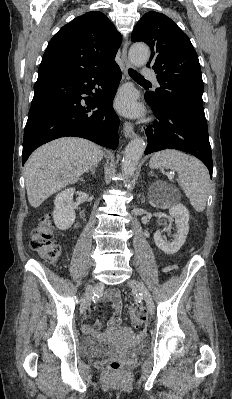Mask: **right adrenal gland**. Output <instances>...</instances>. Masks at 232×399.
Returning a JSON list of instances; mask_svg holds the SVG:
<instances>
[{
  "label": "right adrenal gland",
  "instance_id": "1",
  "mask_svg": "<svg viewBox=\"0 0 232 399\" xmlns=\"http://www.w3.org/2000/svg\"><path fill=\"white\" fill-rule=\"evenodd\" d=\"M96 168H97V166H92V168H89V170H87V172H91L92 176H95Z\"/></svg>",
  "mask_w": 232,
  "mask_h": 399
}]
</instances>
